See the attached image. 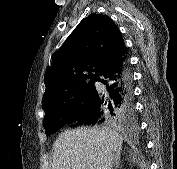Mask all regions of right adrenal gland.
I'll return each instance as SVG.
<instances>
[{"instance_id": "2a0ac1e0", "label": "right adrenal gland", "mask_w": 177, "mask_h": 169, "mask_svg": "<svg viewBox=\"0 0 177 169\" xmlns=\"http://www.w3.org/2000/svg\"><path fill=\"white\" fill-rule=\"evenodd\" d=\"M116 155H117V158L115 159L114 167H115V169H118V168L121 167V165H120V153H117Z\"/></svg>"}]
</instances>
